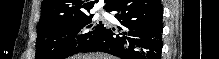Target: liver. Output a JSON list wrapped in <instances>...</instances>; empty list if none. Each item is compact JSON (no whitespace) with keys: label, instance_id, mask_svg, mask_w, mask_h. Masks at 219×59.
<instances>
[{"label":"liver","instance_id":"liver-1","mask_svg":"<svg viewBox=\"0 0 219 59\" xmlns=\"http://www.w3.org/2000/svg\"><path fill=\"white\" fill-rule=\"evenodd\" d=\"M71 59H116L114 56L102 53L80 54L73 56Z\"/></svg>","mask_w":219,"mask_h":59}]
</instances>
